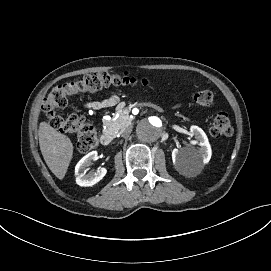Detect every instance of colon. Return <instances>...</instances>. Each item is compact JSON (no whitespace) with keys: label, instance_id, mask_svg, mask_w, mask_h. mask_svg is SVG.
Here are the masks:
<instances>
[{"label":"colon","instance_id":"obj_1","mask_svg":"<svg viewBox=\"0 0 271 271\" xmlns=\"http://www.w3.org/2000/svg\"><path fill=\"white\" fill-rule=\"evenodd\" d=\"M149 85L146 79H138L129 72L121 74L108 72H92L74 81L54 87L44 99L42 108L49 118L53 128L77 137V149L80 153H87L98 145L96 129L93 123L77 114L61 115L60 110L67 106L69 100L83 93H95L110 86ZM193 100L202 107L210 106L214 101L211 90H201L193 95ZM233 127L226 113H219L213 120L210 133L215 138L230 136Z\"/></svg>","mask_w":271,"mask_h":271}]
</instances>
